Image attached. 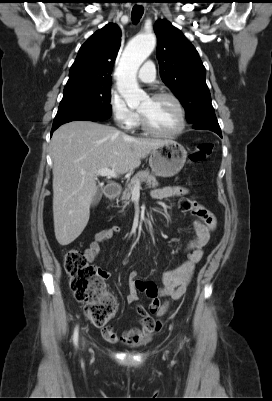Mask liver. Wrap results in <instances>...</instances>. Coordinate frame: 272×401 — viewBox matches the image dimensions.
Listing matches in <instances>:
<instances>
[{
  "mask_svg": "<svg viewBox=\"0 0 272 401\" xmlns=\"http://www.w3.org/2000/svg\"><path fill=\"white\" fill-rule=\"evenodd\" d=\"M167 140L136 138L91 121L60 126L51 140L53 218L58 243H72L86 227L97 192L95 172L109 168L124 174ZM85 173V174H82Z\"/></svg>",
  "mask_w": 272,
  "mask_h": 401,
  "instance_id": "liver-1",
  "label": "liver"
}]
</instances>
